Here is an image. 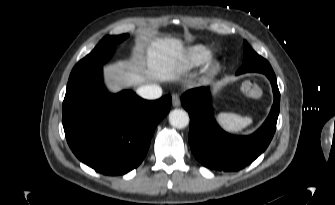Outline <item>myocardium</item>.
Listing matches in <instances>:
<instances>
[{
	"instance_id": "f54148a6",
	"label": "myocardium",
	"mask_w": 335,
	"mask_h": 205,
	"mask_svg": "<svg viewBox=\"0 0 335 205\" xmlns=\"http://www.w3.org/2000/svg\"><path fill=\"white\" fill-rule=\"evenodd\" d=\"M218 62L217 61H212L210 63V72H215L218 69Z\"/></svg>"
}]
</instances>
